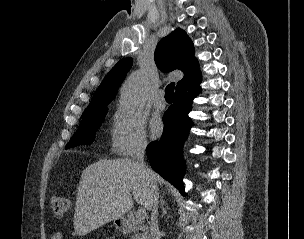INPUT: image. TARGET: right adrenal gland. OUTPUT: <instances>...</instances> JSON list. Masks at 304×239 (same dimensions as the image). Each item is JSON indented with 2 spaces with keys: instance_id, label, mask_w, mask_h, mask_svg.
I'll use <instances>...</instances> for the list:
<instances>
[{
  "instance_id": "right-adrenal-gland-1",
  "label": "right adrenal gland",
  "mask_w": 304,
  "mask_h": 239,
  "mask_svg": "<svg viewBox=\"0 0 304 239\" xmlns=\"http://www.w3.org/2000/svg\"><path fill=\"white\" fill-rule=\"evenodd\" d=\"M160 202H161V208H162V216L161 217H163L167 213V209L165 208V201H164L163 196L161 197Z\"/></svg>"
}]
</instances>
